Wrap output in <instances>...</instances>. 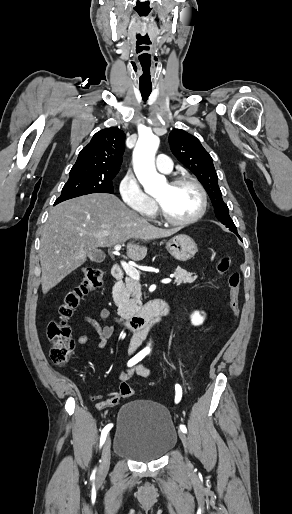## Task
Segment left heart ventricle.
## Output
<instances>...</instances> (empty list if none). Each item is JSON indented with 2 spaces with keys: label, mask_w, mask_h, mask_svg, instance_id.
Masks as SVG:
<instances>
[{
  "label": "left heart ventricle",
  "mask_w": 292,
  "mask_h": 514,
  "mask_svg": "<svg viewBox=\"0 0 292 514\" xmlns=\"http://www.w3.org/2000/svg\"><path fill=\"white\" fill-rule=\"evenodd\" d=\"M154 197L170 217L178 220L191 217L199 207V195L190 185L170 187L167 184Z\"/></svg>",
  "instance_id": "obj_1"
}]
</instances>
